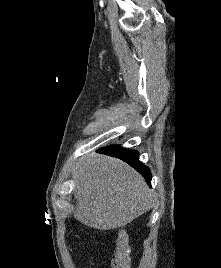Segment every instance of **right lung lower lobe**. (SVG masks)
Instances as JSON below:
<instances>
[{"instance_id":"1","label":"right lung lower lobe","mask_w":221,"mask_h":268,"mask_svg":"<svg viewBox=\"0 0 221 268\" xmlns=\"http://www.w3.org/2000/svg\"><path fill=\"white\" fill-rule=\"evenodd\" d=\"M98 152L117 157L127 162L134 167L145 179L149 186H151V172L147 166L140 163L138 160V152L136 150H127L118 145H111L98 150Z\"/></svg>"}]
</instances>
